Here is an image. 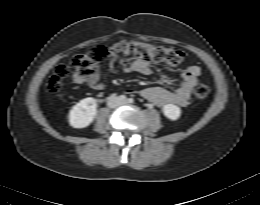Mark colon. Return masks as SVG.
<instances>
[{
    "label": "colon",
    "instance_id": "1",
    "mask_svg": "<svg viewBox=\"0 0 260 205\" xmlns=\"http://www.w3.org/2000/svg\"><path fill=\"white\" fill-rule=\"evenodd\" d=\"M112 51L118 53L122 59H141L178 66L185 60V53L173 46L150 44L141 40H120L112 44ZM107 53L104 46H95L86 52L76 55L69 64L59 65L48 79L46 88L49 93H56L63 80L73 78H87L98 71V64ZM210 88L205 83L195 86L194 94L199 99L206 98Z\"/></svg>",
    "mask_w": 260,
    "mask_h": 205
}]
</instances>
